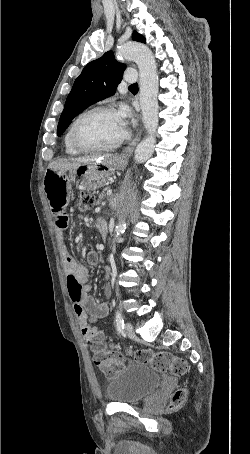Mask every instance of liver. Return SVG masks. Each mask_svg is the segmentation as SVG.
I'll use <instances>...</instances> for the list:
<instances>
[{
  "label": "liver",
  "mask_w": 250,
  "mask_h": 454,
  "mask_svg": "<svg viewBox=\"0 0 250 454\" xmlns=\"http://www.w3.org/2000/svg\"><path fill=\"white\" fill-rule=\"evenodd\" d=\"M109 157H112V155L106 154L104 156H97V155L85 156V157L71 158V159H69V162L65 161L64 163H66L68 165L77 166L78 164H81V163H90V162H94V161H97L102 158H109Z\"/></svg>",
  "instance_id": "obj_1"
}]
</instances>
